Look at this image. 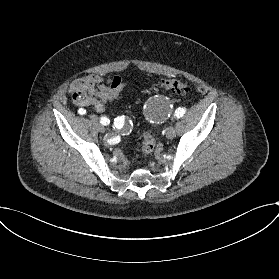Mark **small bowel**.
I'll use <instances>...</instances> for the list:
<instances>
[{
    "label": "small bowel",
    "instance_id": "1",
    "mask_svg": "<svg viewBox=\"0 0 279 279\" xmlns=\"http://www.w3.org/2000/svg\"><path fill=\"white\" fill-rule=\"evenodd\" d=\"M127 76L83 75L71 83L69 93L77 106H93L96 112L103 113L127 85Z\"/></svg>",
    "mask_w": 279,
    "mask_h": 279
}]
</instances>
